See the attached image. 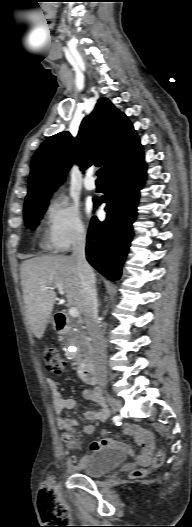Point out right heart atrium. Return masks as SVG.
Masks as SVG:
<instances>
[{
  "label": "right heart atrium",
  "mask_w": 192,
  "mask_h": 527,
  "mask_svg": "<svg viewBox=\"0 0 192 527\" xmlns=\"http://www.w3.org/2000/svg\"><path fill=\"white\" fill-rule=\"evenodd\" d=\"M46 244L54 251H64L86 235L79 211L64 200L51 201L44 212Z\"/></svg>",
  "instance_id": "1"
}]
</instances>
